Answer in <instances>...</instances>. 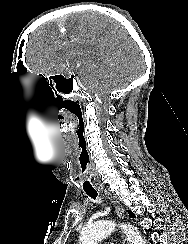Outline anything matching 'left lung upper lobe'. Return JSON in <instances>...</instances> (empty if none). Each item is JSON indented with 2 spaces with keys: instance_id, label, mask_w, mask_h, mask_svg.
Returning a JSON list of instances; mask_svg holds the SVG:
<instances>
[{
  "instance_id": "1",
  "label": "left lung upper lobe",
  "mask_w": 188,
  "mask_h": 244,
  "mask_svg": "<svg viewBox=\"0 0 188 244\" xmlns=\"http://www.w3.org/2000/svg\"><path fill=\"white\" fill-rule=\"evenodd\" d=\"M128 213H129V216H130L131 218H134V217H135V215H134L131 211H128Z\"/></svg>"
}]
</instances>
